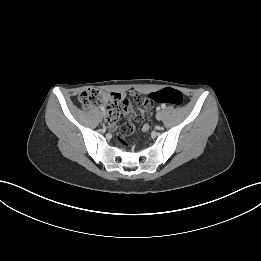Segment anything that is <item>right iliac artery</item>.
I'll list each match as a JSON object with an SVG mask.
<instances>
[{"label":"right iliac artery","mask_w":261,"mask_h":261,"mask_svg":"<svg viewBox=\"0 0 261 261\" xmlns=\"http://www.w3.org/2000/svg\"><path fill=\"white\" fill-rule=\"evenodd\" d=\"M100 109H101L102 111H104V110H105V108H104L103 106H101V107H100Z\"/></svg>","instance_id":"1"}]
</instances>
